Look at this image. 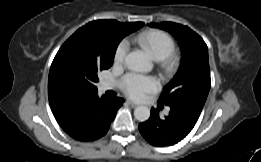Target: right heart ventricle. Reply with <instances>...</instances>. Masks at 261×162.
<instances>
[{
  "instance_id": "right-heart-ventricle-1",
  "label": "right heart ventricle",
  "mask_w": 261,
  "mask_h": 162,
  "mask_svg": "<svg viewBox=\"0 0 261 162\" xmlns=\"http://www.w3.org/2000/svg\"><path fill=\"white\" fill-rule=\"evenodd\" d=\"M134 41L147 50L155 60H163L170 56L175 49L172 37L161 30H148L140 33Z\"/></svg>"
}]
</instances>
